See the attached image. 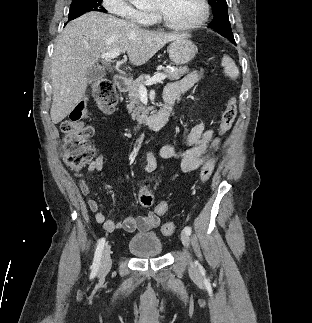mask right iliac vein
<instances>
[{"label":"right iliac vein","mask_w":312,"mask_h":323,"mask_svg":"<svg viewBox=\"0 0 312 323\" xmlns=\"http://www.w3.org/2000/svg\"><path fill=\"white\" fill-rule=\"evenodd\" d=\"M111 268V247L108 245L106 246L101 260L100 266V275H105L108 273L109 269Z\"/></svg>","instance_id":"63e3f726"}]
</instances>
